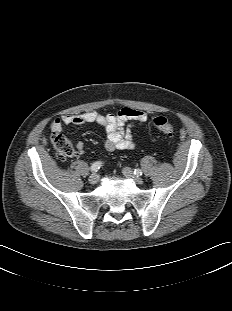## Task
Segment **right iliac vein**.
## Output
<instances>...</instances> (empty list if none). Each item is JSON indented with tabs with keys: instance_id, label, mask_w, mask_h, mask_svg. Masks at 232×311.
Segmentation results:
<instances>
[{
	"instance_id": "1",
	"label": "right iliac vein",
	"mask_w": 232,
	"mask_h": 311,
	"mask_svg": "<svg viewBox=\"0 0 232 311\" xmlns=\"http://www.w3.org/2000/svg\"><path fill=\"white\" fill-rule=\"evenodd\" d=\"M99 180V176L96 173H93L89 176L88 181L90 184L95 185Z\"/></svg>"
}]
</instances>
